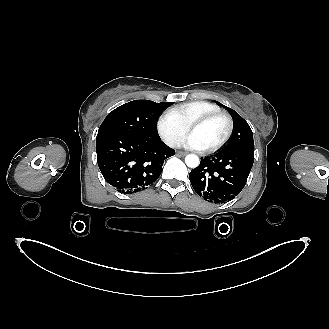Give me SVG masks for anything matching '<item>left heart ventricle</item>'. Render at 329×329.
<instances>
[{
  "label": "left heart ventricle",
  "mask_w": 329,
  "mask_h": 329,
  "mask_svg": "<svg viewBox=\"0 0 329 329\" xmlns=\"http://www.w3.org/2000/svg\"><path fill=\"white\" fill-rule=\"evenodd\" d=\"M226 131V120L216 118L192 129L190 134L197 138L203 149H207L217 144L224 137Z\"/></svg>",
  "instance_id": "left-heart-ventricle-1"
}]
</instances>
